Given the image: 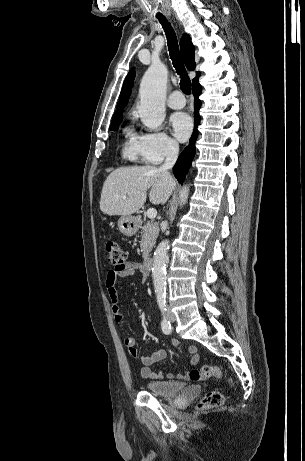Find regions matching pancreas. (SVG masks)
Listing matches in <instances>:
<instances>
[{
	"label": "pancreas",
	"instance_id": "1",
	"mask_svg": "<svg viewBox=\"0 0 305 461\" xmlns=\"http://www.w3.org/2000/svg\"><path fill=\"white\" fill-rule=\"evenodd\" d=\"M159 234V226L156 222L147 221V223L142 227V238L140 241V247L142 256L144 258L148 257L151 249L153 248L156 238Z\"/></svg>",
	"mask_w": 305,
	"mask_h": 461
}]
</instances>
